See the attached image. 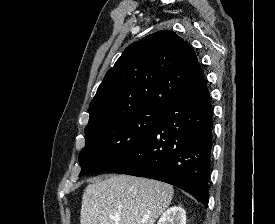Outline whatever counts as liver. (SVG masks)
Instances as JSON below:
<instances>
[{"mask_svg":"<svg viewBox=\"0 0 275 224\" xmlns=\"http://www.w3.org/2000/svg\"><path fill=\"white\" fill-rule=\"evenodd\" d=\"M171 185L129 175L89 184L82 196L81 224H154L169 207ZM113 217H118L115 221Z\"/></svg>","mask_w":275,"mask_h":224,"instance_id":"obj_1","label":"liver"}]
</instances>
